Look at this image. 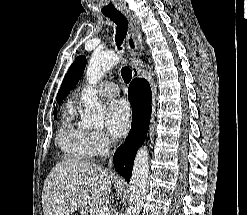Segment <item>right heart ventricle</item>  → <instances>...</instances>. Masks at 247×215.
<instances>
[{
	"label": "right heart ventricle",
	"mask_w": 247,
	"mask_h": 215,
	"mask_svg": "<svg viewBox=\"0 0 247 215\" xmlns=\"http://www.w3.org/2000/svg\"><path fill=\"white\" fill-rule=\"evenodd\" d=\"M58 144L65 157L71 161L84 162L94 155L91 132L75 122V105L66 108L58 131Z\"/></svg>",
	"instance_id": "e07e8e85"
}]
</instances>
